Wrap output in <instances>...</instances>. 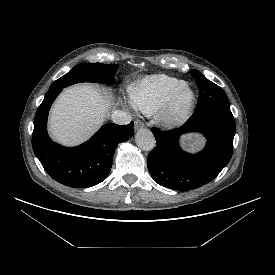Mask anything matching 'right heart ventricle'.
I'll return each instance as SVG.
<instances>
[{
    "label": "right heart ventricle",
    "instance_id": "e07e8e85",
    "mask_svg": "<svg viewBox=\"0 0 275 275\" xmlns=\"http://www.w3.org/2000/svg\"><path fill=\"white\" fill-rule=\"evenodd\" d=\"M184 84L183 80L165 74L147 76L134 87L131 100L137 110L152 114Z\"/></svg>",
    "mask_w": 275,
    "mask_h": 275
}]
</instances>
